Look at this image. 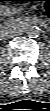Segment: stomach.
Segmentation results:
<instances>
[{
    "label": "stomach",
    "mask_w": 50,
    "mask_h": 111,
    "mask_svg": "<svg viewBox=\"0 0 50 111\" xmlns=\"http://www.w3.org/2000/svg\"><path fill=\"white\" fill-rule=\"evenodd\" d=\"M1 11L5 15H12L20 11V8L15 5H2Z\"/></svg>",
    "instance_id": "stomach-1"
}]
</instances>
